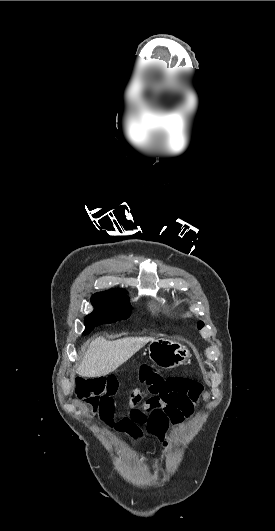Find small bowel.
<instances>
[{"mask_svg": "<svg viewBox=\"0 0 275 531\" xmlns=\"http://www.w3.org/2000/svg\"><path fill=\"white\" fill-rule=\"evenodd\" d=\"M141 382L148 384L149 396L145 398L142 393L133 396L129 413L109 425L119 434L129 436L135 443L143 437V427L152 436L163 438L170 427L180 426L184 420L192 414L193 404L187 397L199 398L204 392L202 383H194L193 388L187 384L193 382L191 373H165L145 365L138 371ZM104 394L100 396V413L104 417H113L116 413L114 408L118 394L120 377L107 375L105 377ZM181 394V396L176 395ZM198 405V402H195ZM155 461L153 462V464Z\"/></svg>", "mask_w": 275, "mask_h": 531, "instance_id": "small-bowel-1", "label": "small bowel"}]
</instances>
